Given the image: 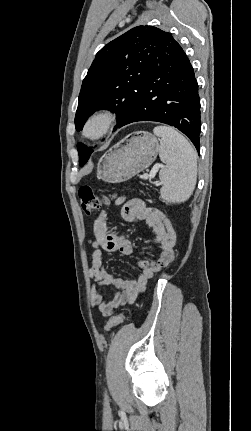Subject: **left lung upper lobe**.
<instances>
[{"label":"left lung upper lobe","instance_id":"1","mask_svg":"<svg viewBox=\"0 0 251 431\" xmlns=\"http://www.w3.org/2000/svg\"><path fill=\"white\" fill-rule=\"evenodd\" d=\"M171 34L154 26H137L105 45L83 80L75 115L76 130L97 110L117 115L119 127L130 113L156 59L157 51ZM114 129V130H115ZM79 164L92 150L79 143Z\"/></svg>","mask_w":251,"mask_h":431}]
</instances>
